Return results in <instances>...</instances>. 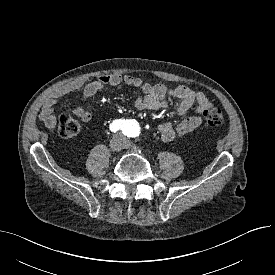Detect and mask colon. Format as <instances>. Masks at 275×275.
I'll return each instance as SVG.
<instances>
[{"label": "colon", "instance_id": "colon-1", "mask_svg": "<svg viewBox=\"0 0 275 275\" xmlns=\"http://www.w3.org/2000/svg\"><path fill=\"white\" fill-rule=\"evenodd\" d=\"M205 123L209 126H219L224 121V116L220 109L212 108L203 111ZM79 122L70 114H62L59 118L58 134L64 139L75 137L80 132Z\"/></svg>", "mask_w": 275, "mask_h": 275}]
</instances>
